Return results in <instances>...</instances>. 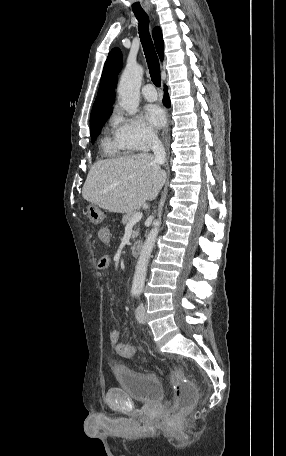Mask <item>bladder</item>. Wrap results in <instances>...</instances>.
<instances>
[{
  "mask_svg": "<svg viewBox=\"0 0 286 456\" xmlns=\"http://www.w3.org/2000/svg\"><path fill=\"white\" fill-rule=\"evenodd\" d=\"M115 378L117 387L135 401L151 403L164 397L163 386L153 375L142 374L125 365H118L115 369Z\"/></svg>",
  "mask_w": 286,
  "mask_h": 456,
  "instance_id": "obj_1",
  "label": "bladder"
}]
</instances>
